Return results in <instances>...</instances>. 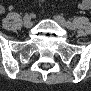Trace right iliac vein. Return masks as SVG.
<instances>
[{
  "mask_svg": "<svg viewBox=\"0 0 91 91\" xmlns=\"http://www.w3.org/2000/svg\"><path fill=\"white\" fill-rule=\"evenodd\" d=\"M32 25H33V23H32L31 18L30 17H25L24 18V26L26 28H30Z\"/></svg>",
  "mask_w": 91,
  "mask_h": 91,
  "instance_id": "obj_1",
  "label": "right iliac vein"
}]
</instances>
